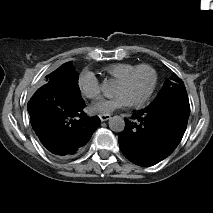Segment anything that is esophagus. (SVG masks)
<instances>
[{
	"label": "esophagus",
	"instance_id": "1",
	"mask_svg": "<svg viewBox=\"0 0 213 213\" xmlns=\"http://www.w3.org/2000/svg\"><path fill=\"white\" fill-rule=\"evenodd\" d=\"M99 117H100L101 121L104 122V121L109 120L111 116L109 114H100Z\"/></svg>",
	"mask_w": 213,
	"mask_h": 213
}]
</instances>
